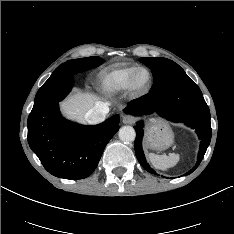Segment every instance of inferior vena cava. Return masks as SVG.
<instances>
[{
	"label": "inferior vena cava",
	"mask_w": 234,
	"mask_h": 234,
	"mask_svg": "<svg viewBox=\"0 0 234 234\" xmlns=\"http://www.w3.org/2000/svg\"><path fill=\"white\" fill-rule=\"evenodd\" d=\"M109 112V107L104 102H97L95 107L90 109L85 114V119L90 124H99L103 122L106 118V114Z\"/></svg>",
	"instance_id": "1"
}]
</instances>
